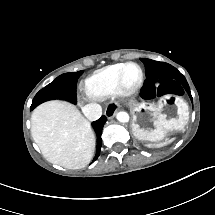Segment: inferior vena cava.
Listing matches in <instances>:
<instances>
[{"instance_id": "inferior-vena-cava-1", "label": "inferior vena cava", "mask_w": 215, "mask_h": 215, "mask_svg": "<svg viewBox=\"0 0 215 215\" xmlns=\"http://www.w3.org/2000/svg\"><path fill=\"white\" fill-rule=\"evenodd\" d=\"M82 112L90 121L99 119L102 115V107L97 103H90L82 107Z\"/></svg>"}]
</instances>
